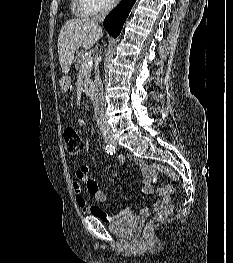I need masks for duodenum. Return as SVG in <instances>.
Wrapping results in <instances>:
<instances>
[{"instance_id": "410a0bca", "label": "duodenum", "mask_w": 233, "mask_h": 263, "mask_svg": "<svg viewBox=\"0 0 233 263\" xmlns=\"http://www.w3.org/2000/svg\"><path fill=\"white\" fill-rule=\"evenodd\" d=\"M84 84L86 85L84 88L85 92L92 93L93 88L91 85H93V79L92 78H85L84 79ZM93 102H96V99H93Z\"/></svg>"}]
</instances>
